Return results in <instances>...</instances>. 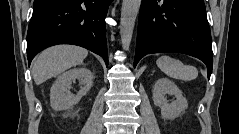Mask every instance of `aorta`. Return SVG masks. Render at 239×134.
Returning a JSON list of instances; mask_svg holds the SVG:
<instances>
[{
	"label": "aorta",
	"mask_w": 239,
	"mask_h": 134,
	"mask_svg": "<svg viewBox=\"0 0 239 134\" xmlns=\"http://www.w3.org/2000/svg\"><path fill=\"white\" fill-rule=\"evenodd\" d=\"M140 5L141 0H123L122 2L120 36L124 50L129 49Z\"/></svg>",
	"instance_id": "obj_1"
}]
</instances>
